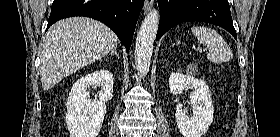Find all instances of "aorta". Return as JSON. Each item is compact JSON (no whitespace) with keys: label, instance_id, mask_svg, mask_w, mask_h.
<instances>
[{"label":"aorta","instance_id":"762f6f07","mask_svg":"<svg viewBox=\"0 0 280 137\" xmlns=\"http://www.w3.org/2000/svg\"><path fill=\"white\" fill-rule=\"evenodd\" d=\"M159 11L151 10L143 20L135 44V67L139 74L149 71L153 46L158 30Z\"/></svg>","mask_w":280,"mask_h":137}]
</instances>
